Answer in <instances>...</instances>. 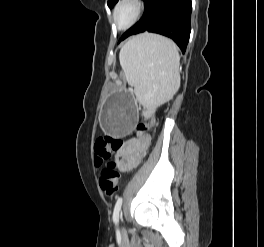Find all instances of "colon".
I'll list each match as a JSON object with an SVG mask.
<instances>
[{"mask_svg": "<svg viewBox=\"0 0 264 247\" xmlns=\"http://www.w3.org/2000/svg\"><path fill=\"white\" fill-rule=\"evenodd\" d=\"M154 123L152 119L149 123H140L138 132H143ZM123 146V141L112 136L99 138L94 144V161L96 165L106 163L99 176V186L107 196H113L119 187L120 173L117 170V163L111 160V156Z\"/></svg>", "mask_w": 264, "mask_h": 247, "instance_id": "5ec220e1", "label": "colon"}]
</instances>
